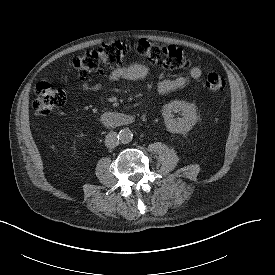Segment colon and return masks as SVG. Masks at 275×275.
<instances>
[{"label": "colon", "instance_id": "colon-1", "mask_svg": "<svg viewBox=\"0 0 275 275\" xmlns=\"http://www.w3.org/2000/svg\"><path fill=\"white\" fill-rule=\"evenodd\" d=\"M135 50L164 67L181 69L187 68L190 64L183 52L173 46H160L141 40ZM125 56L126 48L122 43H110L73 59L71 64L82 76L101 74L105 69L117 67ZM205 85L211 91L220 92L225 88V81L218 72L211 71L206 76ZM34 93L32 108L38 115L48 114L52 109L62 106L67 99L64 90L54 88L46 81L37 82Z\"/></svg>", "mask_w": 275, "mask_h": 275}]
</instances>
